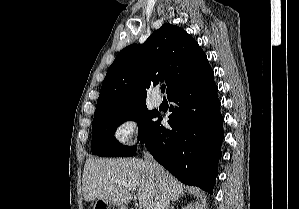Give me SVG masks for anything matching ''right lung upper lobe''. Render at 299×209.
Segmentation results:
<instances>
[{
  "label": "right lung upper lobe",
  "mask_w": 299,
  "mask_h": 209,
  "mask_svg": "<svg viewBox=\"0 0 299 209\" xmlns=\"http://www.w3.org/2000/svg\"><path fill=\"white\" fill-rule=\"evenodd\" d=\"M213 73L207 56L183 29L165 23L144 44L121 50L107 71L95 115L146 104L147 90L165 81L167 94L189 78Z\"/></svg>",
  "instance_id": "right-lung-upper-lobe-1"
}]
</instances>
